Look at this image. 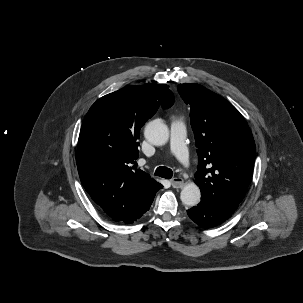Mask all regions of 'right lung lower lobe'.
Wrapping results in <instances>:
<instances>
[{"instance_id":"right-lung-lower-lobe-1","label":"right lung lower lobe","mask_w":303,"mask_h":303,"mask_svg":"<svg viewBox=\"0 0 303 303\" xmlns=\"http://www.w3.org/2000/svg\"><path fill=\"white\" fill-rule=\"evenodd\" d=\"M161 188H162V185L159 189H161ZM156 192L153 193L152 195H150L143 202V204L141 205V207L137 211H135L134 213L124 217L121 220H115V221L120 223V224H131V223L135 222L136 220H138L143 214H145L149 210V208H150V206L153 202V199H154V196H155Z\"/></svg>"}]
</instances>
